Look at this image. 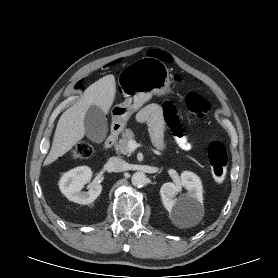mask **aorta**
<instances>
[{
	"mask_svg": "<svg viewBox=\"0 0 278 278\" xmlns=\"http://www.w3.org/2000/svg\"><path fill=\"white\" fill-rule=\"evenodd\" d=\"M131 182L135 187H143L147 182V177L143 172H135L132 175Z\"/></svg>",
	"mask_w": 278,
	"mask_h": 278,
	"instance_id": "762f6f07",
	"label": "aorta"
}]
</instances>
